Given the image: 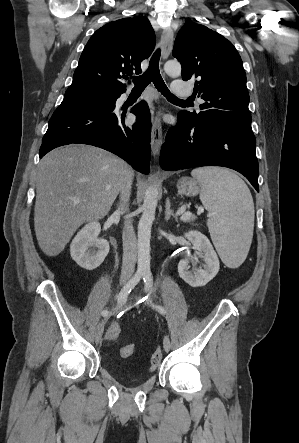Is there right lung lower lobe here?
<instances>
[{"mask_svg":"<svg viewBox=\"0 0 299 443\" xmlns=\"http://www.w3.org/2000/svg\"><path fill=\"white\" fill-rule=\"evenodd\" d=\"M131 112L137 116L136 123L125 126L126 111L121 112L115 106L63 101L49 121L39 156L42 158L62 145L88 144L108 150L137 171L149 174L151 119L148 105L141 101Z\"/></svg>","mask_w":299,"mask_h":443,"instance_id":"obj_1","label":"right lung lower lobe"}]
</instances>
